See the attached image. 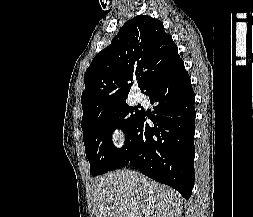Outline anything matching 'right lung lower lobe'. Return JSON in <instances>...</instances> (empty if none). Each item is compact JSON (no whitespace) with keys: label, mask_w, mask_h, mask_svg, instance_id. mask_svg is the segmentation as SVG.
<instances>
[{"label":"right lung lower lobe","mask_w":253,"mask_h":217,"mask_svg":"<svg viewBox=\"0 0 253 217\" xmlns=\"http://www.w3.org/2000/svg\"><path fill=\"white\" fill-rule=\"evenodd\" d=\"M154 115L144 111L134 122L112 170L133 165L148 177L191 197L194 185V108L191 80L181 60L145 92ZM146 117L153 121L149 126Z\"/></svg>","instance_id":"98d812e1"}]
</instances>
